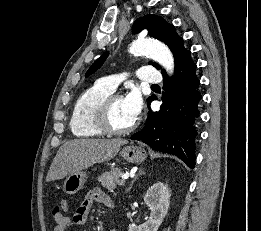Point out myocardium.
Instances as JSON below:
<instances>
[{"label":"myocardium","mask_w":261,"mask_h":231,"mask_svg":"<svg viewBox=\"0 0 261 231\" xmlns=\"http://www.w3.org/2000/svg\"><path fill=\"white\" fill-rule=\"evenodd\" d=\"M123 98L120 93H112L107 96L97 107L94 115L95 125L106 134L125 135L132 132L138 125V120L126 128H117L111 121V109L114 102Z\"/></svg>","instance_id":"1"}]
</instances>
